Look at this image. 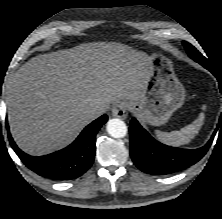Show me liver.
Wrapping results in <instances>:
<instances>
[{"label": "liver", "mask_w": 222, "mask_h": 219, "mask_svg": "<svg viewBox=\"0 0 222 219\" xmlns=\"http://www.w3.org/2000/svg\"><path fill=\"white\" fill-rule=\"evenodd\" d=\"M150 72V56L116 42L33 57L8 79L11 134L30 155L61 149L98 117L94 107L139 98Z\"/></svg>", "instance_id": "liver-1"}]
</instances>
